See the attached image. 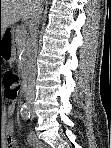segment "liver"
I'll use <instances>...</instances> for the list:
<instances>
[{
  "label": "liver",
  "mask_w": 111,
  "mask_h": 148,
  "mask_svg": "<svg viewBox=\"0 0 111 148\" xmlns=\"http://www.w3.org/2000/svg\"><path fill=\"white\" fill-rule=\"evenodd\" d=\"M38 4L39 0H1L0 28L2 34L10 25L18 22L21 18L29 19Z\"/></svg>",
  "instance_id": "liver-1"
}]
</instances>
